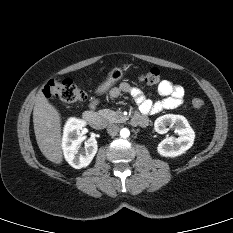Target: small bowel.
<instances>
[{"mask_svg":"<svg viewBox=\"0 0 233 233\" xmlns=\"http://www.w3.org/2000/svg\"><path fill=\"white\" fill-rule=\"evenodd\" d=\"M130 94L138 105L139 113L134 117H143L148 121V116L157 114L163 110L175 109L181 106L184 102V88L168 80H163L157 87L158 94L162 97L161 100L153 102L139 88L130 85L127 82L120 84L119 88L111 90L112 97H118L120 93ZM97 102H93L95 107ZM135 124V123H134Z\"/></svg>","mask_w":233,"mask_h":233,"instance_id":"c3829d8e","label":"small bowel"}]
</instances>
